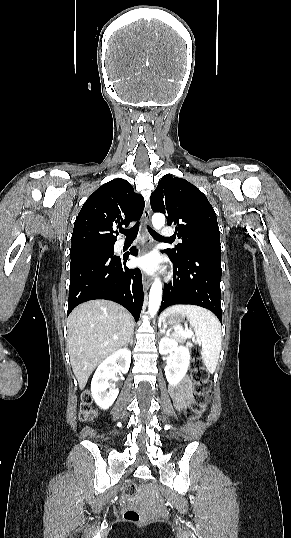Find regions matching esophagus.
Wrapping results in <instances>:
<instances>
[{
    "instance_id": "obj_1",
    "label": "esophagus",
    "mask_w": 291,
    "mask_h": 538,
    "mask_svg": "<svg viewBox=\"0 0 291 538\" xmlns=\"http://www.w3.org/2000/svg\"><path fill=\"white\" fill-rule=\"evenodd\" d=\"M151 213H152L151 205L148 202L146 204L145 211H144V214H143V218H144L145 222L148 225H150ZM151 242H152V239H151L150 235H147L146 243L151 244ZM142 282H143L144 289L147 290L151 285V278H149L147 275L144 274L143 277H142Z\"/></svg>"
}]
</instances>
